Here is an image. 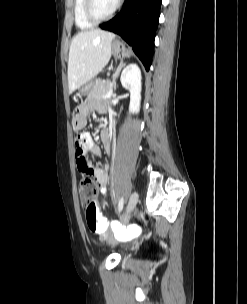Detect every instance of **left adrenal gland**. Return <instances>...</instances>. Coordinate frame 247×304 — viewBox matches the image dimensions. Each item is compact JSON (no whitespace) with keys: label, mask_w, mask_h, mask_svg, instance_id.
<instances>
[{"label":"left adrenal gland","mask_w":247,"mask_h":304,"mask_svg":"<svg viewBox=\"0 0 247 304\" xmlns=\"http://www.w3.org/2000/svg\"><path fill=\"white\" fill-rule=\"evenodd\" d=\"M124 66H125V63L123 61H121L119 63V65H118L115 73L112 76V87H113L114 90H116V87H117V85H116V79L119 76V73H120L122 67H124Z\"/></svg>","instance_id":"a2214340"}]
</instances>
